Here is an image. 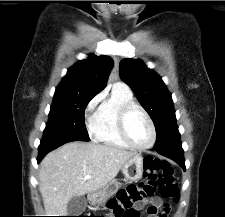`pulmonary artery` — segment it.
<instances>
[{"mask_svg": "<svg viewBox=\"0 0 225 217\" xmlns=\"http://www.w3.org/2000/svg\"><path fill=\"white\" fill-rule=\"evenodd\" d=\"M115 85L129 89V87L125 83H123V82H118Z\"/></svg>", "mask_w": 225, "mask_h": 217, "instance_id": "e3ab8cb5", "label": "pulmonary artery"}]
</instances>
